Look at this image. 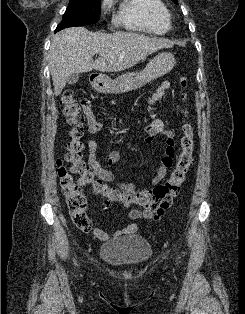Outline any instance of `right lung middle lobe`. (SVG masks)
<instances>
[{"label": "right lung middle lobe", "mask_w": 245, "mask_h": 314, "mask_svg": "<svg viewBox=\"0 0 245 314\" xmlns=\"http://www.w3.org/2000/svg\"><path fill=\"white\" fill-rule=\"evenodd\" d=\"M100 13V0H70L56 31L95 23L99 20Z\"/></svg>", "instance_id": "obj_1"}]
</instances>
